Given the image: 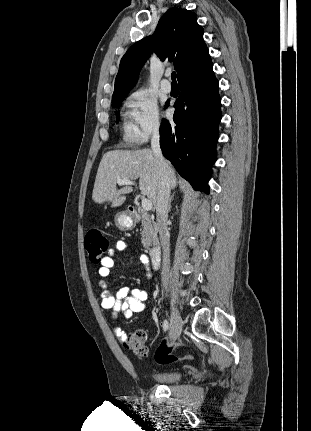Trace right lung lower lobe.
Listing matches in <instances>:
<instances>
[{
    "label": "right lung lower lobe",
    "mask_w": 311,
    "mask_h": 431,
    "mask_svg": "<svg viewBox=\"0 0 311 431\" xmlns=\"http://www.w3.org/2000/svg\"><path fill=\"white\" fill-rule=\"evenodd\" d=\"M218 87L212 65L179 84L181 94L174 104L173 121L163 119L160 127L163 155L195 190L207 194L221 120Z\"/></svg>",
    "instance_id": "1"
}]
</instances>
